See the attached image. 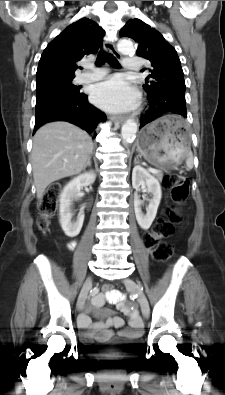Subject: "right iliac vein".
I'll use <instances>...</instances> for the list:
<instances>
[{
    "label": "right iliac vein",
    "instance_id": "1",
    "mask_svg": "<svg viewBox=\"0 0 225 395\" xmlns=\"http://www.w3.org/2000/svg\"><path fill=\"white\" fill-rule=\"evenodd\" d=\"M92 286V281L90 278H88L80 292V295L78 297V301H77V309L80 311L83 309L84 304H85V300L86 297L88 295L89 290L91 289Z\"/></svg>",
    "mask_w": 225,
    "mask_h": 395
}]
</instances>
